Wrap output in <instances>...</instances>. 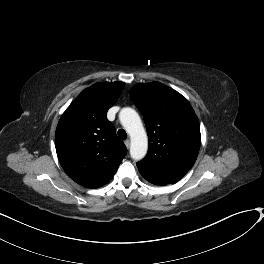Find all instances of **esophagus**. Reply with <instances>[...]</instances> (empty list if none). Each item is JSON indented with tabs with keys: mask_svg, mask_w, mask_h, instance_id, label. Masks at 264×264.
I'll use <instances>...</instances> for the list:
<instances>
[{
	"mask_svg": "<svg viewBox=\"0 0 264 264\" xmlns=\"http://www.w3.org/2000/svg\"><path fill=\"white\" fill-rule=\"evenodd\" d=\"M124 143H125V145H126V147H127V148H129V147H130V140H129V139L125 140V142H124Z\"/></svg>",
	"mask_w": 264,
	"mask_h": 264,
	"instance_id": "obj_1",
	"label": "esophagus"
}]
</instances>
